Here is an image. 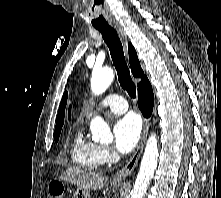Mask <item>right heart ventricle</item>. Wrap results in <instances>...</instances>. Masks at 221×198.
I'll return each instance as SVG.
<instances>
[{"label": "right heart ventricle", "mask_w": 221, "mask_h": 198, "mask_svg": "<svg viewBox=\"0 0 221 198\" xmlns=\"http://www.w3.org/2000/svg\"><path fill=\"white\" fill-rule=\"evenodd\" d=\"M69 153L72 162L81 169L95 170L103 164L100 156V146L87 139L82 129L74 134Z\"/></svg>", "instance_id": "right-heart-ventricle-1"}]
</instances>
